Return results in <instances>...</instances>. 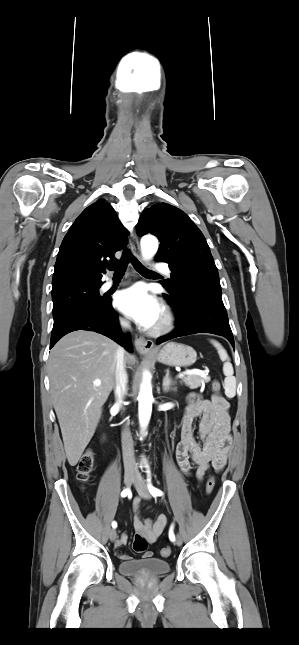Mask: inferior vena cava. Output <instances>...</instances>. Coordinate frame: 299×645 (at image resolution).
Wrapping results in <instances>:
<instances>
[{"mask_svg": "<svg viewBox=\"0 0 299 645\" xmlns=\"http://www.w3.org/2000/svg\"><path fill=\"white\" fill-rule=\"evenodd\" d=\"M121 327L125 330L130 329V323L127 320H120ZM115 397L118 405L122 403V400L126 394V388L128 383V375L126 372V360H125V351L122 347H119L115 354ZM122 453H123V462L125 471L137 472V467L134 457V447L133 440L131 437L130 430L126 425L122 431Z\"/></svg>", "mask_w": 299, "mask_h": 645, "instance_id": "obj_1", "label": "inferior vena cava"}]
</instances>
